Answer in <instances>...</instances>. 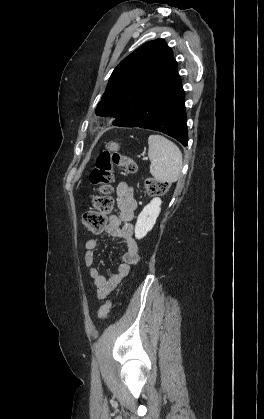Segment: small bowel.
<instances>
[{
	"label": "small bowel",
	"mask_w": 264,
	"mask_h": 419,
	"mask_svg": "<svg viewBox=\"0 0 264 419\" xmlns=\"http://www.w3.org/2000/svg\"><path fill=\"white\" fill-rule=\"evenodd\" d=\"M116 203L118 214H112L108 217L106 232L114 238V240L126 247V251L121 257V262L115 273L107 275L97 267H92L96 259V248L98 240L92 238L85 243V265L90 267L89 274L93 279L97 288V297L104 299L122 280L127 277L131 271V267L139 262L138 244L133 237L134 225V211L137 207L136 200L133 194V188L124 181H121L116 186Z\"/></svg>",
	"instance_id": "1"
}]
</instances>
